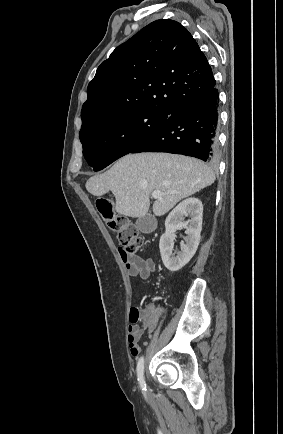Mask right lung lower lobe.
<instances>
[{
	"instance_id": "98d812e1",
	"label": "right lung lower lobe",
	"mask_w": 283,
	"mask_h": 434,
	"mask_svg": "<svg viewBox=\"0 0 283 434\" xmlns=\"http://www.w3.org/2000/svg\"><path fill=\"white\" fill-rule=\"evenodd\" d=\"M218 92L215 87L176 108L130 153L167 152L213 162L217 157Z\"/></svg>"
}]
</instances>
